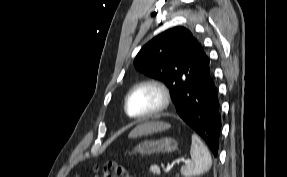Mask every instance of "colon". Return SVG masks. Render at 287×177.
I'll use <instances>...</instances> for the list:
<instances>
[{"label": "colon", "mask_w": 287, "mask_h": 177, "mask_svg": "<svg viewBox=\"0 0 287 177\" xmlns=\"http://www.w3.org/2000/svg\"><path fill=\"white\" fill-rule=\"evenodd\" d=\"M94 177H134L124 166L113 161H108L93 169Z\"/></svg>", "instance_id": "5ec220e1"}]
</instances>
